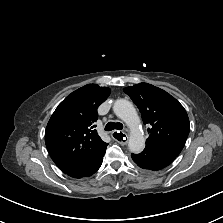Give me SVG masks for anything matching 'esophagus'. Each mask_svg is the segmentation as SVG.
Returning a JSON list of instances; mask_svg holds the SVG:
<instances>
[{
	"label": "esophagus",
	"mask_w": 223,
	"mask_h": 223,
	"mask_svg": "<svg viewBox=\"0 0 223 223\" xmlns=\"http://www.w3.org/2000/svg\"><path fill=\"white\" fill-rule=\"evenodd\" d=\"M112 138L122 145H126L128 142V134L126 132L113 131L111 133Z\"/></svg>",
	"instance_id": "esophagus-1"
}]
</instances>
